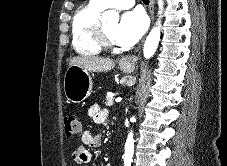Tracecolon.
Wrapping results in <instances>:
<instances>
[{
	"label": "colon",
	"mask_w": 227,
	"mask_h": 166,
	"mask_svg": "<svg viewBox=\"0 0 227 166\" xmlns=\"http://www.w3.org/2000/svg\"><path fill=\"white\" fill-rule=\"evenodd\" d=\"M67 136H75L82 130V121L76 114H69L64 119Z\"/></svg>",
	"instance_id": "obj_1"
}]
</instances>
